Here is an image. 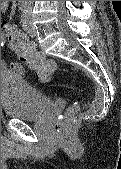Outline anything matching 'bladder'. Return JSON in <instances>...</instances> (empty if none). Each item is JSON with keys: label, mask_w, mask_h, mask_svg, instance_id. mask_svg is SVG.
<instances>
[{"label": "bladder", "mask_w": 121, "mask_h": 169, "mask_svg": "<svg viewBox=\"0 0 121 169\" xmlns=\"http://www.w3.org/2000/svg\"><path fill=\"white\" fill-rule=\"evenodd\" d=\"M1 104L6 115L23 121L39 120L53 108L50 97L9 71L1 75Z\"/></svg>", "instance_id": "1"}]
</instances>
